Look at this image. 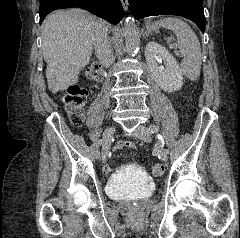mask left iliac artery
<instances>
[{"label": "left iliac artery", "instance_id": "left-iliac-artery-1", "mask_svg": "<svg viewBox=\"0 0 240 238\" xmlns=\"http://www.w3.org/2000/svg\"><path fill=\"white\" fill-rule=\"evenodd\" d=\"M149 130L152 132V133H154V132H157L158 131V128L155 126V125H151L150 127H149ZM161 151H162V153H167V151H168V148L167 147H162L161 148Z\"/></svg>", "mask_w": 240, "mask_h": 238}]
</instances>
